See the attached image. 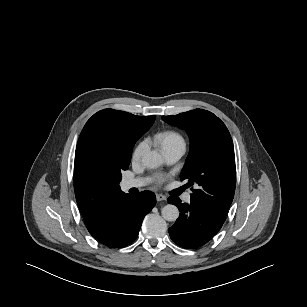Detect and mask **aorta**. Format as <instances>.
<instances>
[{"instance_id": "1", "label": "aorta", "mask_w": 307, "mask_h": 307, "mask_svg": "<svg viewBox=\"0 0 307 307\" xmlns=\"http://www.w3.org/2000/svg\"><path fill=\"white\" fill-rule=\"evenodd\" d=\"M163 163L162 156L156 151H147L143 154L142 164L150 169L159 167ZM162 217L169 222L176 221L179 217V209L172 204L162 208Z\"/></svg>"}]
</instances>
